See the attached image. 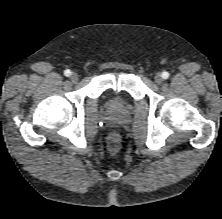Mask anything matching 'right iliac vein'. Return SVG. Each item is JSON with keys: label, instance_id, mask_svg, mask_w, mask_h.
<instances>
[{"label": "right iliac vein", "instance_id": "right-iliac-vein-1", "mask_svg": "<svg viewBox=\"0 0 222 219\" xmlns=\"http://www.w3.org/2000/svg\"><path fill=\"white\" fill-rule=\"evenodd\" d=\"M70 79L72 82H77L78 79H79V76L77 73L73 72L71 75H70Z\"/></svg>", "mask_w": 222, "mask_h": 219}]
</instances>
